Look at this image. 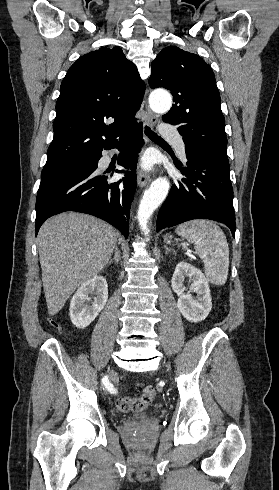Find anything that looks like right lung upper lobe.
Instances as JSON below:
<instances>
[{"label":"right lung upper lobe","mask_w":279,"mask_h":490,"mask_svg":"<svg viewBox=\"0 0 279 490\" xmlns=\"http://www.w3.org/2000/svg\"><path fill=\"white\" fill-rule=\"evenodd\" d=\"M144 92L121 48L102 47L80 57L61 84L46 164L93 157L118 136L141 128L134 115Z\"/></svg>","instance_id":"obj_1"}]
</instances>
